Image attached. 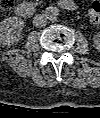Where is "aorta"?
I'll list each match as a JSON object with an SVG mask.
<instances>
[{"label": "aorta", "instance_id": "1", "mask_svg": "<svg viewBox=\"0 0 100 118\" xmlns=\"http://www.w3.org/2000/svg\"><path fill=\"white\" fill-rule=\"evenodd\" d=\"M60 14V10L57 7H48L45 9L44 15L46 16L47 20L54 21L58 18Z\"/></svg>", "mask_w": 100, "mask_h": 118}]
</instances>
